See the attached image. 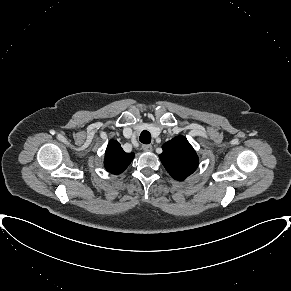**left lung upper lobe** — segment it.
I'll return each mask as SVG.
<instances>
[{"label": "left lung upper lobe", "instance_id": "left-lung-upper-lobe-1", "mask_svg": "<svg viewBox=\"0 0 291 291\" xmlns=\"http://www.w3.org/2000/svg\"><path fill=\"white\" fill-rule=\"evenodd\" d=\"M159 158L167 172L176 180L183 181L198 167V156L184 136H177L162 146Z\"/></svg>", "mask_w": 291, "mask_h": 291}]
</instances>
